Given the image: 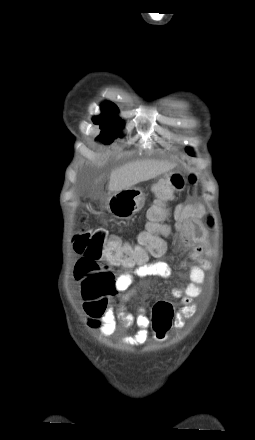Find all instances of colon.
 <instances>
[{
	"mask_svg": "<svg viewBox=\"0 0 255 440\" xmlns=\"http://www.w3.org/2000/svg\"><path fill=\"white\" fill-rule=\"evenodd\" d=\"M186 182L194 184L196 175L190 173L184 178L180 173H173L155 185V203L148 211L146 230L139 235L141 246L123 243L102 229L84 227L75 235L74 250L82 254L75 266V277L80 283L89 317L102 316L107 310L108 299L116 290L111 268L137 265L148 254H162L164 246L158 235L164 231L165 205ZM211 223L210 220L209 225ZM155 303L152 310L153 338L155 342H166L175 316L174 307L167 298H156Z\"/></svg>",
	"mask_w": 255,
	"mask_h": 440,
	"instance_id": "1",
	"label": "colon"
}]
</instances>
